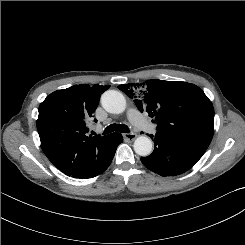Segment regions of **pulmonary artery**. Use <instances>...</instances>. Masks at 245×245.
Instances as JSON below:
<instances>
[{
  "label": "pulmonary artery",
  "instance_id": "e3ab8cb5",
  "mask_svg": "<svg viewBox=\"0 0 245 245\" xmlns=\"http://www.w3.org/2000/svg\"><path fill=\"white\" fill-rule=\"evenodd\" d=\"M128 118L140 130L148 133H154L156 131V125L147 121L136 109H130L128 111Z\"/></svg>",
  "mask_w": 245,
  "mask_h": 245
}]
</instances>
